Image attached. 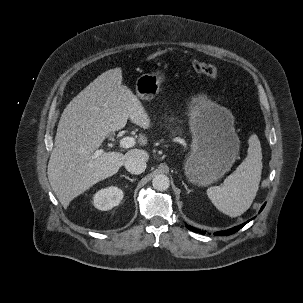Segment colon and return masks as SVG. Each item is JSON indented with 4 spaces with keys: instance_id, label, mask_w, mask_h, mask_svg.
<instances>
[{
    "instance_id": "colon-1",
    "label": "colon",
    "mask_w": 303,
    "mask_h": 303,
    "mask_svg": "<svg viewBox=\"0 0 303 303\" xmlns=\"http://www.w3.org/2000/svg\"><path fill=\"white\" fill-rule=\"evenodd\" d=\"M164 54H165L164 50H156L155 52H153L150 55L149 59L151 61H156V60L162 58L164 56ZM192 68L195 72L206 75L211 78H216L218 76V69L216 66L209 64V63H205L200 60H193Z\"/></svg>"
}]
</instances>
